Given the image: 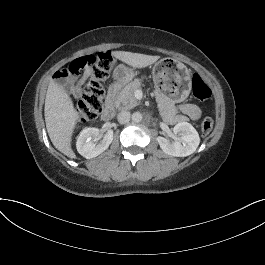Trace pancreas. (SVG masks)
<instances>
[{
	"label": "pancreas",
	"instance_id": "obj_1",
	"mask_svg": "<svg viewBox=\"0 0 265 265\" xmlns=\"http://www.w3.org/2000/svg\"><path fill=\"white\" fill-rule=\"evenodd\" d=\"M141 85L142 80L139 78L126 85L117 97L116 106L124 110L138 106L139 102L135 99L134 92L140 89ZM154 94L160 116L166 124L175 125L178 122L189 121L187 116L179 114V110L172 100L159 91H154Z\"/></svg>",
	"mask_w": 265,
	"mask_h": 265
}]
</instances>
